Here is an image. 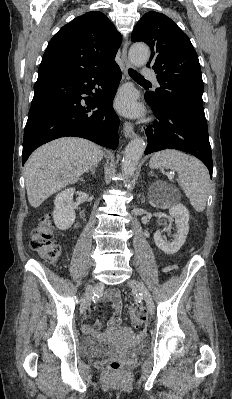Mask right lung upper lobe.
Returning a JSON list of instances; mask_svg holds the SVG:
<instances>
[{
	"label": "right lung upper lobe",
	"instance_id": "obj_1",
	"mask_svg": "<svg viewBox=\"0 0 232 399\" xmlns=\"http://www.w3.org/2000/svg\"><path fill=\"white\" fill-rule=\"evenodd\" d=\"M121 35L99 11L78 16L50 40L38 73L86 71L114 63Z\"/></svg>",
	"mask_w": 232,
	"mask_h": 399
}]
</instances>
